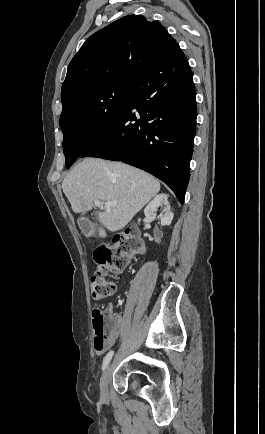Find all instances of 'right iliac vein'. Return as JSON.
I'll use <instances>...</instances> for the list:
<instances>
[{"instance_id":"right-iliac-vein-1","label":"right iliac vein","mask_w":265,"mask_h":434,"mask_svg":"<svg viewBox=\"0 0 265 434\" xmlns=\"http://www.w3.org/2000/svg\"><path fill=\"white\" fill-rule=\"evenodd\" d=\"M110 372H111V364L107 366L100 379L101 396L105 400H108V380H109Z\"/></svg>"}]
</instances>
